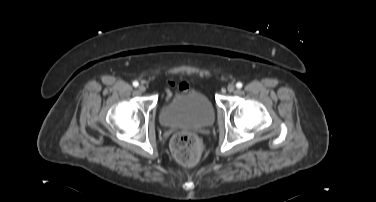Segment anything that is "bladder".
<instances>
[{
    "instance_id": "31cf9c89",
    "label": "bladder",
    "mask_w": 376,
    "mask_h": 202,
    "mask_svg": "<svg viewBox=\"0 0 376 202\" xmlns=\"http://www.w3.org/2000/svg\"><path fill=\"white\" fill-rule=\"evenodd\" d=\"M159 119L167 128L202 129L215 120V109L202 92L192 89L176 94L160 110Z\"/></svg>"
}]
</instances>
